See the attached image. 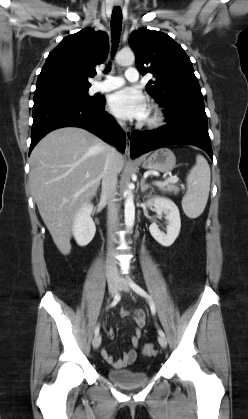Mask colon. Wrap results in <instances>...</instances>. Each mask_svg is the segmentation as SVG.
<instances>
[{
  "mask_svg": "<svg viewBox=\"0 0 248 419\" xmlns=\"http://www.w3.org/2000/svg\"><path fill=\"white\" fill-rule=\"evenodd\" d=\"M143 353L146 356H152L155 354L154 345L152 343H146L143 347Z\"/></svg>",
  "mask_w": 248,
  "mask_h": 419,
  "instance_id": "colon-1",
  "label": "colon"
}]
</instances>
